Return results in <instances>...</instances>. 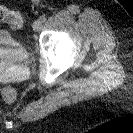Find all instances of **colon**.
Segmentation results:
<instances>
[{"mask_svg": "<svg viewBox=\"0 0 133 133\" xmlns=\"http://www.w3.org/2000/svg\"><path fill=\"white\" fill-rule=\"evenodd\" d=\"M0 21L7 22L13 28H19L22 24V18L20 14L9 9L0 6ZM2 97L6 102H13L16 98V94L12 89L6 88L2 91Z\"/></svg>", "mask_w": 133, "mask_h": 133, "instance_id": "1", "label": "colon"}]
</instances>
